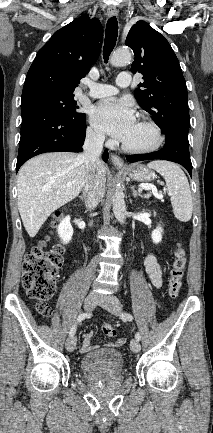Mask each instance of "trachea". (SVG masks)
I'll use <instances>...</instances> for the list:
<instances>
[{"label": "trachea", "mask_w": 213, "mask_h": 433, "mask_svg": "<svg viewBox=\"0 0 213 433\" xmlns=\"http://www.w3.org/2000/svg\"><path fill=\"white\" fill-rule=\"evenodd\" d=\"M118 35V22L115 16L111 17L106 24L105 43L103 49V58L107 63L112 50L115 47Z\"/></svg>", "instance_id": "1"}]
</instances>
